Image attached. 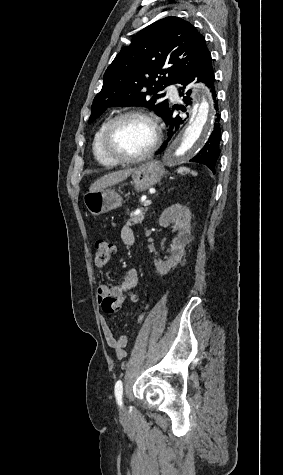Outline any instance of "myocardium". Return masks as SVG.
Returning a JSON list of instances; mask_svg holds the SVG:
<instances>
[{"instance_id": "1", "label": "myocardium", "mask_w": 283, "mask_h": 475, "mask_svg": "<svg viewBox=\"0 0 283 475\" xmlns=\"http://www.w3.org/2000/svg\"><path fill=\"white\" fill-rule=\"evenodd\" d=\"M129 117H140L148 120L154 129V140L151 147L142 155L134 158L113 157L108 152V145L110 143L112 133L116 125L123 119ZM161 144V127L160 122L156 114L152 112H146L141 110H132L120 113L115 116L107 125L102 138H101V150L106 157L107 162H135V165L141 164L150 159L158 150Z\"/></svg>"}]
</instances>
